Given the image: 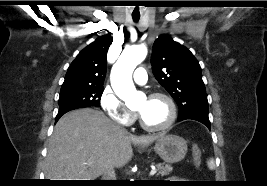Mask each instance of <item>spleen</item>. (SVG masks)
I'll return each instance as SVG.
<instances>
[{
  "mask_svg": "<svg viewBox=\"0 0 267 186\" xmlns=\"http://www.w3.org/2000/svg\"><path fill=\"white\" fill-rule=\"evenodd\" d=\"M208 166H209L210 169H213L215 167L213 160H210L208 162Z\"/></svg>",
  "mask_w": 267,
  "mask_h": 186,
  "instance_id": "spleen-1",
  "label": "spleen"
}]
</instances>
